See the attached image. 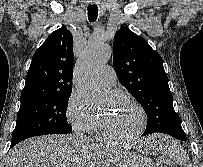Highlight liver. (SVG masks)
I'll return each instance as SVG.
<instances>
[{
	"mask_svg": "<svg viewBox=\"0 0 203 167\" xmlns=\"http://www.w3.org/2000/svg\"><path fill=\"white\" fill-rule=\"evenodd\" d=\"M114 145L84 143L75 136L47 135L22 141L7 156L6 167H109L125 158Z\"/></svg>",
	"mask_w": 203,
	"mask_h": 167,
	"instance_id": "obj_1",
	"label": "liver"
}]
</instances>
